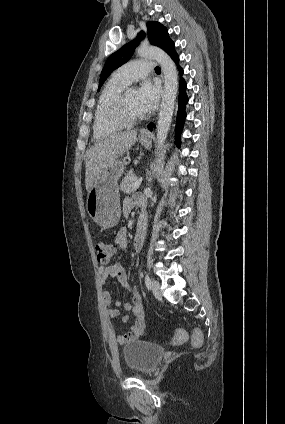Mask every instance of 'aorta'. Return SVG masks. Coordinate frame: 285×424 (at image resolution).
<instances>
[{
  "instance_id": "obj_1",
  "label": "aorta",
  "mask_w": 285,
  "mask_h": 424,
  "mask_svg": "<svg viewBox=\"0 0 285 424\" xmlns=\"http://www.w3.org/2000/svg\"><path fill=\"white\" fill-rule=\"evenodd\" d=\"M137 54L142 58L156 60L164 74V96L157 121V141L160 149L167 138L172 121L178 90V74L173 60L158 47L140 46Z\"/></svg>"
}]
</instances>
